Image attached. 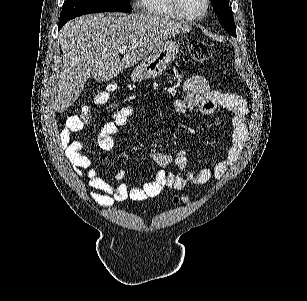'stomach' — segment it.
Wrapping results in <instances>:
<instances>
[{
    "label": "stomach",
    "mask_w": 307,
    "mask_h": 301,
    "mask_svg": "<svg viewBox=\"0 0 307 301\" xmlns=\"http://www.w3.org/2000/svg\"><path fill=\"white\" fill-rule=\"evenodd\" d=\"M179 52V44L176 40H164L158 44L149 56H145L133 72H131L132 82H141L147 78H157L166 70L167 66L173 62L176 54Z\"/></svg>",
    "instance_id": "1"
}]
</instances>
